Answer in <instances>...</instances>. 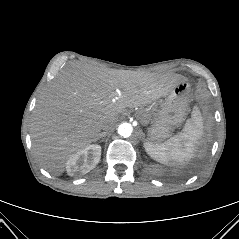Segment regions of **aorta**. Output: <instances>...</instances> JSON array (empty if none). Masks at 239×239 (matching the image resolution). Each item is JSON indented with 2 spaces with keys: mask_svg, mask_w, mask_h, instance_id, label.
Listing matches in <instances>:
<instances>
[{
  "mask_svg": "<svg viewBox=\"0 0 239 239\" xmlns=\"http://www.w3.org/2000/svg\"><path fill=\"white\" fill-rule=\"evenodd\" d=\"M117 130L120 136L129 137L133 132V127L130 123H122Z\"/></svg>",
  "mask_w": 239,
  "mask_h": 239,
  "instance_id": "obj_1",
  "label": "aorta"
}]
</instances>
